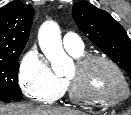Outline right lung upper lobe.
I'll return each instance as SVG.
<instances>
[{"mask_svg":"<svg viewBox=\"0 0 131 115\" xmlns=\"http://www.w3.org/2000/svg\"><path fill=\"white\" fill-rule=\"evenodd\" d=\"M33 17V7L16 1L0 8V57L23 50Z\"/></svg>","mask_w":131,"mask_h":115,"instance_id":"cb5924a9","label":"right lung upper lobe"}]
</instances>
